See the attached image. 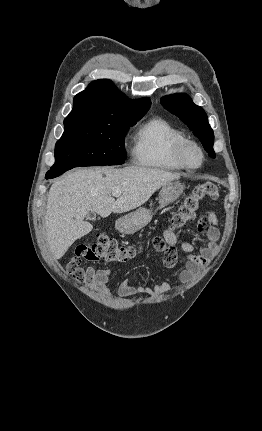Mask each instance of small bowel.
<instances>
[{"instance_id": "small-bowel-1", "label": "small bowel", "mask_w": 262, "mask_h": 431, "mask_svg": "<svg viewBox=\"0 0 262 431\" xmlns=\"http://www.w3.org/2000/svg\"><path fill=\"white\" fill-rule=\"evenodd\" d=\"M218 218L215 213L209 211L205 215V219L198 225V230L207 239V245L199 253L196 252L192 244L179 242L177 236L171 231H165L163 236L169 249L164 251L163 263L167 268H174L178 261L177 248L187 253L185 266L179 272L178 278L182 284L190 283L195 277L201 274L209 259L216 249L217 240L219 237L217 231ZM109 269H95L88 267L82 275H76L77 280L84 284L87 288L98 290L103 296L109 297ZM172 287L170 281H163L155 285H131L129 281L124 280L120 283L119 293L122 296H132L135 294H143L146 296H154L165 293Z\"/></svg>"}]
</instances>
